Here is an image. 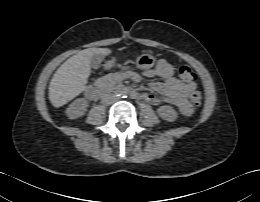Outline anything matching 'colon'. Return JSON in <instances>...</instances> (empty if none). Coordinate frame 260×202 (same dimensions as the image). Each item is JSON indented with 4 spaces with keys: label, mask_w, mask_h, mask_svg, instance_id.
I'll list each match as a JSON object with an SVG mask.
<instances>
[{
    "label": "colon",
    "mask_w": 260,
    "mask_h": 202,
    "mask_svg": "<svg viewBox=\"0 0 260 202\" xmlns=\"http://www.w3.org/2000/svg\"><path fill=\"white\" fill-rule=\"evenodd\" d=\"M179 79L183 83H192L196 79L194 71L187 66H183L179 70ZM190 100L194 105H199L202 100V94L200 91L195 90L190 94Z\"/></svg>",
    "instance_id": "colon-1"
}]
</instances>
